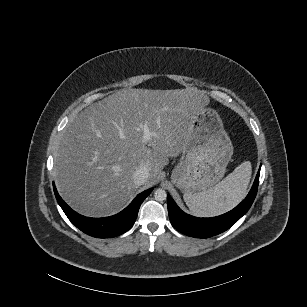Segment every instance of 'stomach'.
<instances>
[{"instance_id":"1","label":"stomach","mask_w":307,"mask_h":307,"mask_svg":"<svg viewBox=\"0 0 307 307\" xmlns=\"http://www.w3.org/2000/svg\"><path fill=\"white\" fill-rule=\"evenodd\" d=\"M233 155L232 142L216 110L201 107L171 180L183 193H197L217 184Z\"/></svg>"}]
</instances>
